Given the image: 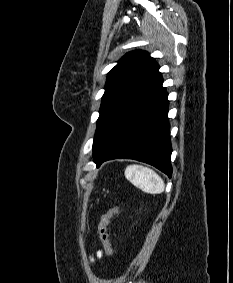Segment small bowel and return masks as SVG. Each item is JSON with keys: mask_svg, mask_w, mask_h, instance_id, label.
Returning a JSON list of instances; mask_svg holds the SVG:
<instances>
[{"mask_svg": "<svg viewBox=\"0 0 233 283\" xmlns=\"http://www.w3.org/2000/svg\"><path fill=\"white\" fill-rule=\"evenodd\" d=\"M97 257H101V252H100V251L97 252ZM90 261H91V262H94V258L92 257V258L90 259Z\"/></svg>", "mask_w": 233, "mask_h": 283, "instance_id": "c3829d8e", "label": "small bowel"}]
</instances>
